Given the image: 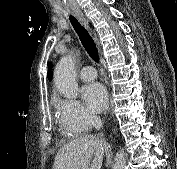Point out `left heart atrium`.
<instances>
[{
    "instance_id": "39dd6f15",
    "label": "left heart atrium",
    "mask_w": 177,
    "mask_h": 169,
    "mask_svg": "<svg viewBox=\"0 0 177 169\" xmlns=\"http://www.w3.org/2000/svg\"><path fill=\"white\" fill-rule=\"evenodd\" d=\"M82 97L86 106L95 113L102 112L108 103L107 90L98 82L84 86L82 89Z\"/></svg>"
}]
</instances>
